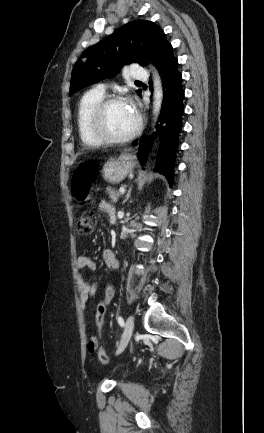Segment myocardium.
I'll return each instance as SVG.
<instances>
[{
	"label": "myocardium",
	"instance_id": "1",
	"mask_svg": "<svg viewBox=\"0 0 264 433\" xmlns=\"http://www.w3.org/2000/svg\"><path fill=\"white\" fill-rule=\"evenodd\" d=\"M118 103H127V100L123 97L113 96L103 99L93 109L89 118V130L92 135L100 142L107 144H122L132 140L140 132L142 127V119L137 114V122L134 128L124 136H113L110 135L105 129V114L107 109Z\"/></svg>",
	"mask_w": 264,
	"mask_h": 433
}]
</instances>
